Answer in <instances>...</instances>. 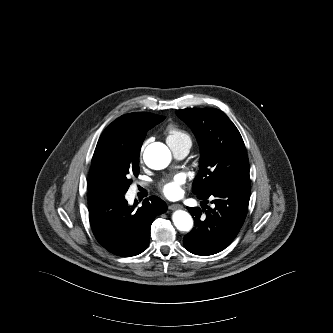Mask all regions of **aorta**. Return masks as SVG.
I'll use <instances>...</instances> for the list:
<instances>
[{
    "mask_svg": "<svg viewBox=\"0 0 333 333\" xmlns=\"http://www.w3.org/2000/svg\"><path fill=\"white\" fill-rule=\"evenodd\" d=\"M143 159L146 165L155 170L166 168L171 161V152L162 143H152L144 151ZM172 221L179 231L188 232L193 227L191 215L183 210H177L172 215Z\"/></svg>",
    "mask_w": 333,
    "mask_h": 333,
    "instance_id": "obj_1",
    "label": "aorta"
}]
</instances>
